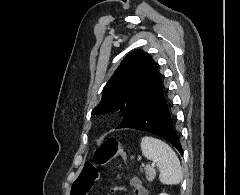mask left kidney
Instances as JSON below:
<instances>
[{"mask_svg": "<svg viewBox=\"0 0 240 195\" xmlns=\"http://www.w3.org/2000/svg\"><path fill=\"white\" fill-rule=\"evenodd\" d=\"M159 195H169V193H159Z\"/></svg>", "mask_w": 240, "mask_h": 195, "instance_id": "left-kidney-1", "label": "left kidney"}]
</instances>
